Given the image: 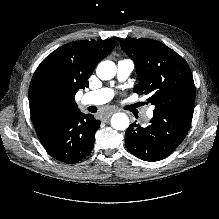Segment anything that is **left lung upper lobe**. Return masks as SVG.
Here are the masks:
<instances>
[{"instance_id": "left-lung-upper-lobe-1", "label": "left lung upper lobe", "mask_w": 219, "mask_h": 219, "mask_svg": "<svg viewBox=\"0 0 219 219\" xmlns=\"http://www.w3.org/2000/svg\"><path fill=\"white\" fill-rule=\"evenodd\" d=\"M136 64L140 80L134 92L148 95L154 111L194 106L195 85L187 62L164 44L146 38L121 41Z\"/></svg>"}]
</instances>
